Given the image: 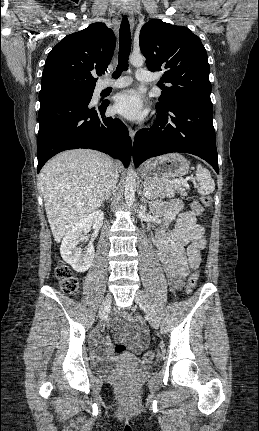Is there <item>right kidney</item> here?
<instances>
[{"instance_id": "ca27d5eb", "label": "right kidney", "mask_w": 259, "mask_h": 431, "mask_svg": "<svg viewBox=\"0 0 259 431\" xmlns=\"http://www.w3.org/2000/svg\"><path fill=\"white\" fill-rule=\"evenodd\" d=\"M104 213L95 211L77 221L66 233L62 240L60 253L64 261L72 266L77 272L87 271L94 259L95 249L91 242L88 247L82 252L78 247L80 242L84 241L83 233L88 226H93V229H99L103 224Z\"/></svg>"}]
</instances>
